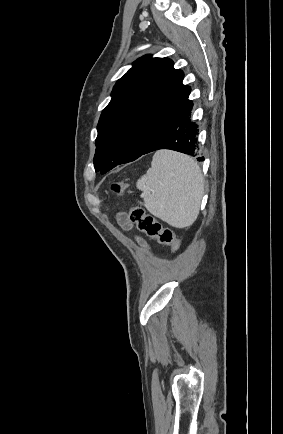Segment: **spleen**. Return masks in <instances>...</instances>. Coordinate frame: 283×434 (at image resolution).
Returning <instances> with one entry per match:
<instances>
[{
    "mask_svg": "<svg viewBox=\"0 0 283 434\" xmlns=\"http://www.w3.org/2000/svg\"><path fill=\"white\" fill-rule=\"evenodd\" d=\"M144 206L176 228L194 223L204 191L197 162L184 154L161 150L154 154L151 168L137 181Z\"/></svg>",
    "mask_w": 283,
    "mask_h": 434,
    "instance_id": "spleen-1",
    "label": "spleen"
}]
</instances>
